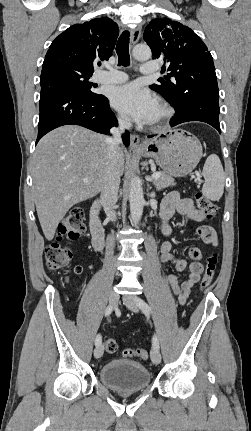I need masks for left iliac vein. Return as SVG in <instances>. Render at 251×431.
Returning a JSON list of instances; mask_svg holds the SVG:
<instances>
[{"label":"left iliac vein","mask_w":251,"mask_h":431,"mask_svg":"<svg viewBox=\"0 0 251 431\" xmlns=\"http://www.w3.org/2000/svg\"><path fill=\"white\" fill-rule=\"evenodd\" d=\"M123 303L126 305L127 308H129L133 312L139 311V305H138V297L134 295H127L123 297ZM151 360L154 364H159L161 362V354L159 350L155 347L151 350Z\"/></svg>","instance_id":"obj_1"}]
</instances>
